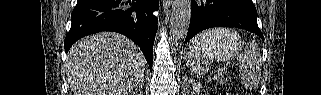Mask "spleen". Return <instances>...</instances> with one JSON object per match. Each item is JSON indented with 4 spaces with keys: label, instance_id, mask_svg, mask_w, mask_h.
Here are the masks:
<instances>
[{
    "label": "spleen",
    "instance_id": "1",
    "mask_svg": "<svg viewBox=\"0 0 321 95\" xmlns=\"http://www.w3.org/2000/svg\"><path fill=\"white\" fill-rule=\"evenodd\" d=\"M229 34L227 29H213L203 32L196 36L193 42L197 43L200 39L216 42ZM237 60L239 62V75L241 83L246 89H254L259 84L261 78V54L260 48L254 41H249L243 52H241ZM208 62L201 61L199 58H187V67L191 72L204 74L208 71Z\"/></svg>",
    "mask_w": 321,
    "mask_h": 95
}]
</instances>
